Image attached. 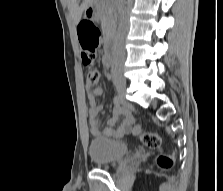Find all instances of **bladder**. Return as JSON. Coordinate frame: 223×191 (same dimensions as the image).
Segmentation results:
<instances>
[{
    "instance_id": "31cf9c89",
    "label": "bladder",
    "mask_w": 223,
    "mask_h": 191,
    "mask_svg": "<svg viewBox=\"0 0 223 191\" xmlns=\"http://www.w3.org/2000/svg\"><path fill=\"white\" fill-rule=\"evenodd\" d=\"M128 152V144L122 140L95 138L88 146L90 159L96 165H111L124 158Z\"/></svg>"
}]
</instances>
